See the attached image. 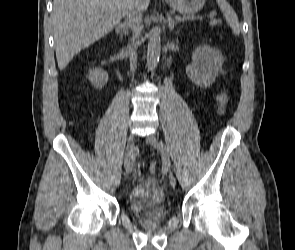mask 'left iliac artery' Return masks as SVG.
<instances>
[{
    "instance_id": "obj_1",
    "label": "left iliac artery",
    "mask_w": 295,
    "mask_h": 250,
    "mask_svg": "<svg viewBox=\"0 0 295 250\" xmlns=\"http://www.w3.org/2000/svg\"><path fill=\"white\" fill-rule=\"evenodd\" d=\"M160 146H161V152H162V155H163V157H164L165 154H166V152H167V149H166V147H165V145L163 144L162 141L160 142ZM164 163H165V165H166L167 167H170V160H168V161H164Z\"/></svg>"
}]
</instances>
